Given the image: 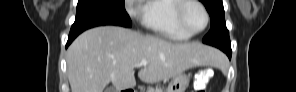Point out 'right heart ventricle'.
I'll use <instances>...</instances> for the list:
<instances>
[{
    "mask_svg": "<svg viewBox=\"0 0 296 92\" xmlns=\"http://www.w3.org/2000/svg\"><path fill=\"white\" fill-rule=\"evenodd\" d=\"M181 0L147 1L143 10V25L152 32L171 40L185 41L187 35L176 22V11Z\"/></svg>",
    "mask_w": 296,
    "mask_h": 92,
    "instance_id": "1",
    "label": "right heart ventricle"
}]
</instances>
